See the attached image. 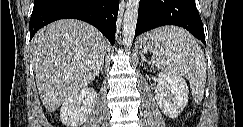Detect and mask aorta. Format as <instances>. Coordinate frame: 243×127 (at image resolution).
Returning <instances> with one entry per match:
<instances>
[{"instance_id":"1","label":"aorta","mask_w":243,"mask_h":127,"mask_svg":"<svg viewBox=\"0 0 243 127\" xmlns=\"http://www.w3.org/2000/svg\"><path fill=\"white\" fill-rule=\"evenodd\" d=\"M139 0H128L123 19V44L126 48L132 46L138 18Z\"/></svg>"}]
</instances>
